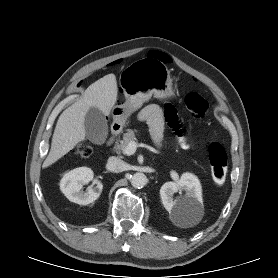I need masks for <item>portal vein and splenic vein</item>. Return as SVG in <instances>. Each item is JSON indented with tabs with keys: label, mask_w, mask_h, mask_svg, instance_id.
Instances as JSON below:
<instances>
[{
	"label": "portal vein and splenic vein",
	"mask_w": 278,
	"mask_h": 278,
	"mask_svg": "<svg viewBox=\"0 0 278 278\" xmlns=\"http://www.w3.org/2000/svg\"><path fill=\"white\" fill-rule=\"evenodd\" d=\"M137 147H138V145L135 141L129 142L128 145L124 149V154L129 155V156L133 155L136 152Z\"/></svg>",
	"instance_id": "portal-vein-and-splenic-vein-1"
}]
</instances>
